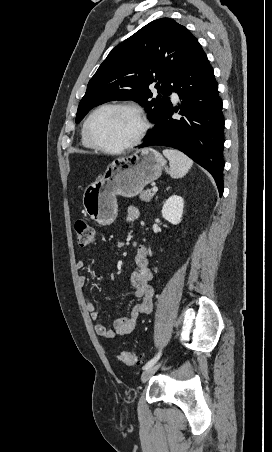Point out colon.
Returning a JSON list of instances; mask_svg holds the SVG:
<instances>
[{
  "label": "colon",
  "instance_id": "colon-1",
  "mask_svg": "<svg viewBox=\"0 0 272 452\" xmlns=\"http://www.w3.org/2000/svg\"><path fill=\"white\" fill-rule=\"evenodd\" d=\"M75 232L79 246L87 247L94 243L96 237L95 230L86 220L79 219L75 222ZM119 359L126 365H137L141 362L140 357L127 351L122 352Z\"/></svg>",
  "mask_w": 272,
  "mask_h": 452
}]
</instances>
